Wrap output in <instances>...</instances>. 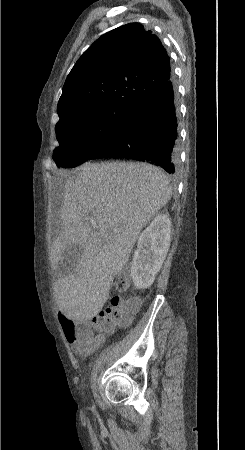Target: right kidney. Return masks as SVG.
Listing matches in <instances>:
<instances>
[{
  "label": "right kidney",
  "instance_id": "1",
  "mask_svg": "<svg viewBox=\"0 0 245 450\" xmlns=\"http://www.w3.org/2000/svg\"><path fill=\"white\" fill-rule=\"evenodd\" d=\"M171 220L166 214H158L141 233L134 252L131 277L138 289L150 287L170 246Z\"/></svg>",
  "mask_w": 245,
  "mask_h": 450
}]
</instances>
